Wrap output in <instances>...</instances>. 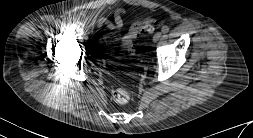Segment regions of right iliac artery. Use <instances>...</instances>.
I'll return each mask as SVG.
<instances>
[{"label": "right iliac artery", "mask_w": 253, "mask_h": 138, "mask_svg": "<svg viewBox=\"0 0 253 138\" xmlns=\"http://www.w3.org/2000/svg\"><path fill=\"white\" fill-rule=\"evenodd\" d=\"M70 29H71L72 31H76V30L78 29V26H77L76 24H72V25L70 26Z\"/></svg>", "instance_id": "obj_1"}]
</instances>
